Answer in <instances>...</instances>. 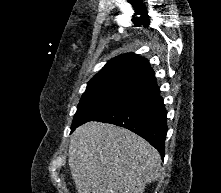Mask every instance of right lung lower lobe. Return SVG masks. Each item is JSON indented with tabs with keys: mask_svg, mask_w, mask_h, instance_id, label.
I'll return each instance as SVG.
<instances>
[{
	"mask_svg": "<svg viewBox=\"0 0 221 193\" xmlns=\"http://www.w3.org/2000/svg\"><path fill=\"white\" fill-rule=\"evenodd\" d=\"M167 111L156 82L136 97L93 120L115 124L146 139L164 158L167 134Z\"/></svg>",
	"mask_w": 221,
	"mask_h": 193,
	"instance_id": "98d812e1",
	"label": "right lung lower lobe"
}]
</instances>
